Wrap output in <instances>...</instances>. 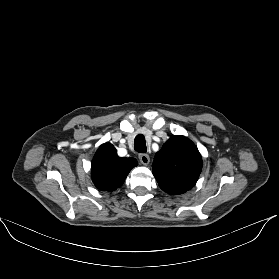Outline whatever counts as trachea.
<instances>
[{"mask_svg":"<svg viewBox=\"0 0 279 279\" xmlns=\"http://www.w3.org/2000/svg\"><path fill=\"white\" fill-rule=\"evenodd\" d=\"M134 149L136 152L145 153L147 151L145 137L141 134L137 135L134 140Z\"/></svg>","mask_w":279,"mask_h":279,"instance_id":"1","label":"trachea"}]
</instances>
